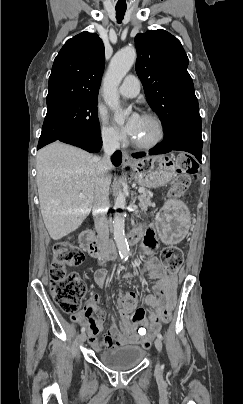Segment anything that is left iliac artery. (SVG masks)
<instances>
[{"mask_svg": "<svg viewBox=\"0 0 243 404\" xmlns=\"http://www.w3.org/2000/svg\"><path fill=\"white\" fill-rule=\"evenodd\" d=\"M157 337H158L159 339H161V340L163 339V336H162L160 333L157 334Z\"/></svg>", "mask_w": 243, "mask_h": 404, "instance_id": "obj_1", "label": "left iliac artery"}]
</instances>
